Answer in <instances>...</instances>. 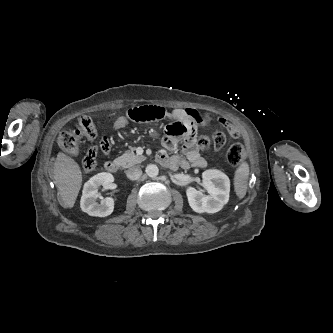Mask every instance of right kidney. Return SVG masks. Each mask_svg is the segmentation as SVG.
Segmentation results:
<instances>
[{
  "label": "right kidney",
  "instance_id": "right-kidney-1",
  "mask_svg": "<svg viewBox=\"0 0 333 333\" xmlns=\"http://www.w3.org/2000/svg\"><path fill=\"white\" fill-rule=\"evenodd\" d=\"M114 177L107 172H101L91 177L83 186L82 197L80 200V207L82 211L90 216L106 217L114 210V200L107 197L97 202L99 197V188L103 187L104 190L112 188Z\"/></svg>",
  "mask_w": 333,
  "mask_h": 333
}]
</instances>
